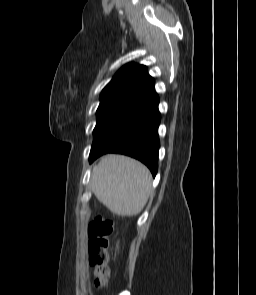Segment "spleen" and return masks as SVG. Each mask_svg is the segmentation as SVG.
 I'll return each mask as SVG.
<instances>
[{"instance_id":"1","label":"spleen","mask_w":256,"mask_h":295,"mask_svg":"<svg viewBox=\"0 0 256 295\" xmlns=\"http://www.w3.org/2000/svg\"><path fill=\"white\" fill-rule=\"evenodd\" d=\"M91 188L97 199L119 216L139 214L151 192V175L140 162L121 155H106L94 166Z\"/></svg>"}]
</instances>
